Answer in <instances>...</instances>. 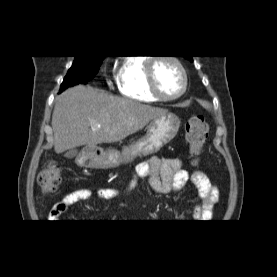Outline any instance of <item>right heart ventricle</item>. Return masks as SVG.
Instances as JSON below:
<instances>
[{
  "label": "right heart ventricle",
  "instance_id": "1",
  "mask_svg": "<svg viewBox=\"0 0 277 277\" xmlns=\"http://www.w3.org/2000/svg\"><path fill=\"white\" fill-rule=\"evenodd\" d=\"M145 56L124 58L118 70V87L122 96L139 102L159 101L148 89Z\"/></svg>",
  "mask_w": 277,
  "mask_h": 277
}]
</instances>
